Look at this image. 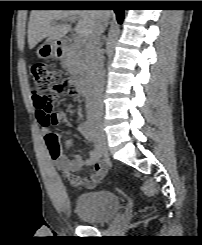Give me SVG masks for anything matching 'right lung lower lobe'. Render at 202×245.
I'll use <instances>...</instances> for the list:
<instances>
[{"mask_svg": "<svg viewBox=\"0 0 202 245\" xmlns=\"http://www.w3.org/2000/svg\"><path fill=\"white\" fill-rule=\"evenodd\" d=\"M95 6L112 7L116 13L118 23L121 24L124 18V10L121 8L120 1H98Z\"/></svg>", "mask_w": 202, "mask_h": 245, "instance_id": "98d812e1", "label": "right lung lower lobe"}]
</instances>
